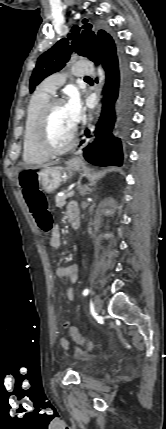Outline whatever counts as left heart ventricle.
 Returning <instances> with one entry per match:
<instances>
[{"mask_svg":"<svg viewBox=\"0 0 166 429\" xmlns=\"http://www.w3.org/2000/svg\"><path fill=\"white\" fill-rule=\"evenodd\" d=\"M74 126L68 114L66 104L57 105L49 118L48 137L50 143L56 147L67 144Z\"/></svg>","mask_w":166,"mask_h":429,"instance_id":"left-heart-ventricle-1","label":"left heart ventricle"}]
</instances>
